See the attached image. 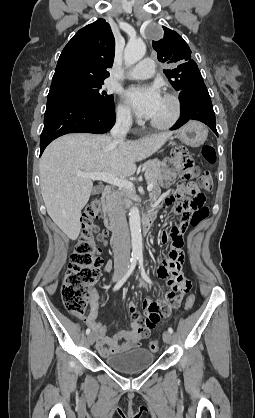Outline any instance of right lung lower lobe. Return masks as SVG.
<instances>
[{"mask_svg":"<svg viewBox=\"0 0 255 418\" xmlns=\"http://www.w3.org/2000/svg\"><path fill=\"white\" fill-rule=\"evenodd\" d=\"M114 123V109L104 112L87 102L73 98L48 99L40 138V156L46 146L59 136L77 132L103 134L109 131Z\"/></svg>","mask_w":255,"mask_h":418,"instance_id":"98d812e1","label":"right lung lower lobe"}]
</instances>
